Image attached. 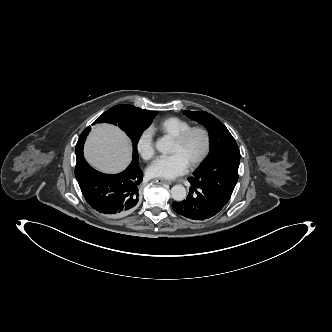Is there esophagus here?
<instances>
[{"instance_id":"1","label":"esophagus","mask_w":332,"mask_h":332,"mask_svg":"<svg viewBox=\"0 0 332 332\" xmlns=\"http://www.w3.org/2000/svg\"><path fill=\"white\" fill-rule=\"evenodd\" d=\"M155 182L159 183V184H171L170 181L165 180V179H155Z\"/></svg>"}]
</instances>
